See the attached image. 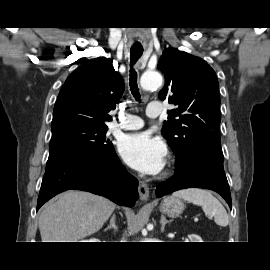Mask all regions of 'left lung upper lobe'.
Returning a JSON list of instances; mask_svg holds the SVG:
<instances>
[{
    "mask_svg": "<svg viewBox=\"0 0 270 270\" xmlns=\"http://www.w3.org/2000/svg\"><path fill=\"white\" fill-rule=\"evenodd\" d=\"M158 68L166 79L159 98L177 106L168 111L161 132L176 158L186 157L194 148L222 152L214 70L203 59L171 48L163 52Z\"/></svg>",
    "mask_w": 270,
    "mask_h": 270,
    "instance_id": "obj_1",
    "label": "left lung upper lobe"
}]
</instances>
